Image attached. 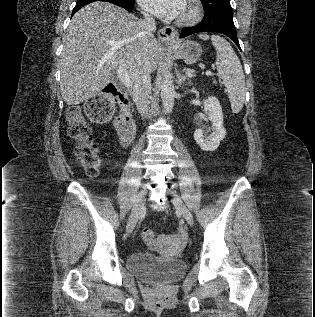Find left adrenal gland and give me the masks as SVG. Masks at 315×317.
Wrapping results in <instances>:
<instances>
[{
  "label": "left adrenal gland",
  "instance_id": "1",
  "mask_svg": "<svg viewBox=\"0 0 315 317\" xmlns=\"http://www.w3.org/2000/svg\"><path fill=\"white\" fill-rule=\"evenodd\" d=\"M185 81H187L188 84H191V80L189 78H186L185 76H183L181 74L180 71H177V83L179 86L182 85V83H184Z\"/></svg>",
  "mask_w": 315,
  "mask_h": 317
}]
</instances>
